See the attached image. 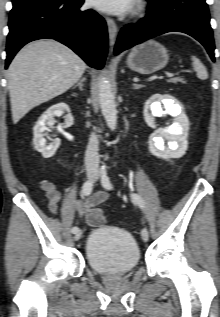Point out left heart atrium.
Segmentation results:
<instances>
[{"mask_svg": "<svg viewBox=\"0 0 220 317\" xmlns=\"http://www.w3.org/2000/svg\"><path fill=\"white\" fill-rule=\"evenodd\" d=\"M134 0H91L95 8L113 14H121L129 11L133 6Z\"/></svg>", "mask_w": 220, "mask_h": 317, "instance_id": "left-heart-atrium-1", "label": "left heart atrium"}]
</instances>
